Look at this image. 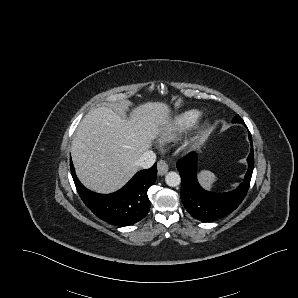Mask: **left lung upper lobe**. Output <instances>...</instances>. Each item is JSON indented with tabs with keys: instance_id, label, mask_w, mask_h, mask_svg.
Wrapping results in <instances>:
<instances>
[{
	"instance_id": "1",
	"label": "left lung upper lobe",
	"mask_w": 298,
	"mask_h": 298,
	"mask_svg": "<svg viewBox=\"0 0 298 298\" xmlns=\"http://www.w3.org/2000/svg\"><path fill=\"white\" fill-rule=\"evenodd\" d=\"M233 123H243V120L240 118L239 115H236L233 120H232Z\"/></svg>"
}]
</instances>
